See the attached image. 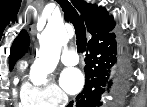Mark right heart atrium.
I'll use <instances>...</instances> for the list:
<instances>
[{
	"label": "right heart atrium",
	"instance_id": "1",
	"mask_svg": "<svg viewBox=\"0 0 147 107\" xmlns=\"http://www.w3.org/2000/svg\"><path fill=\"white\" fill-rule=\"evenodd\" d=\"M21 99L40 107H60L68 101L67 95L53 82L41 86L25 82L21 89Z\"/></svg>",
	"mask_w": 147,
	"mask_h": 107
}]
</instances>
